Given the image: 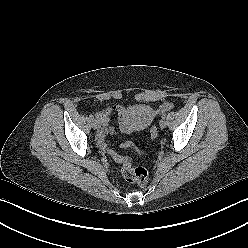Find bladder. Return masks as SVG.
<instances>
[{
  "instance_id": "1",
  "label": "bladder",
  "mask_w": 248,
  "mask_h": 248,
  "mask_svg": "<svg viewBox=\"0 0 248 248\" xmlns=\"http://www.w3.org/2000/svg\"><path fill=\"white\" fill-rule=\"evenodd\" d=\"M153 120L151 109L143 104L129 107L125 111L126 123L136 130L147 128Z\"/></svg>"
}]
</instances>
